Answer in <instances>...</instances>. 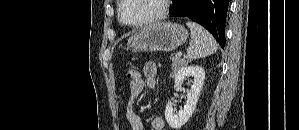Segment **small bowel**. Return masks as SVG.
Wrapping results in <instances>:
<instances>
[{
  "mask_svg": "<svg viewBox=\"0 0 299 130\" xmlns=\"http://www.w3.org/2000/svg\"><path fill=\"white\" fill-rule=\"evenodd\" d=\"M144 78L138 83L130 84L129 99L126 107V119L132 130H143L144 125L141 118L133 111L132 104L136 97L145 87L154 89L157 85V66L154 62H146L143 66ZM153 130H164V120L160 116H154L151 120Z\"/></svg>",
  "mask_w": 299,
  "mask_h": 130,
  "instance_id": "1",
  "label": "small bowel"
}]
</instances>
